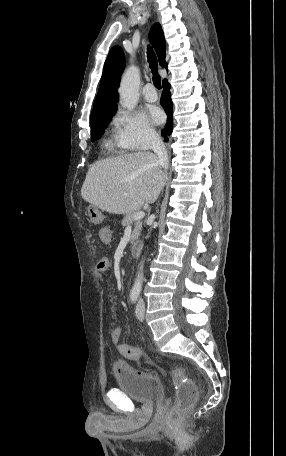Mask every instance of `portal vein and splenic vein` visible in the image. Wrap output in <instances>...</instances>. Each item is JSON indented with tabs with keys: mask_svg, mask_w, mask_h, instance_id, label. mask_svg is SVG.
Here are the masks:
<instances>
[{
	"mask_svg": "<svg viewBox=\"0 0 286 456\" xmlns=\"http://www.w3.org/2000/svg\"><path fill=\"white\" fill-rule=\"evenodd\" d=\"M144 216H145V212L138 211L134 215V220H140V219L144 218Z\"/></svg>",
	"mask_w": 286,
	"mask_h": 456,
	"instance_id": "obj_1",
	"label": "portal vein and splenic vein"
}]
</instances>
